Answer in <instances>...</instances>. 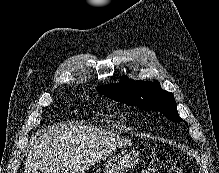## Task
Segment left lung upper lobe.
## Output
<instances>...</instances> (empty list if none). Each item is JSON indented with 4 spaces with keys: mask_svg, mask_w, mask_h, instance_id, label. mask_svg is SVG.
Masks as SVG:
<instances>
[{
    "mask_svg": "<svg viewBox=\"0 0 219 173\" xmlns=\"http://www.w3.org/2000/svg\"><path fill=\"white\" fill-rule=\"evenodd\" d=\"M97 91L118 102L159 111L171 121H182L173 94L162 90L158 81H134L123 76L119 83L99 86Z\"/></svg>",
    "mask_w": 219,
    "mask_h": 173,
    "instance_id": "5c2ea615",
    "label": "left lung upper lobe"
}]
</instances>
